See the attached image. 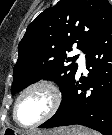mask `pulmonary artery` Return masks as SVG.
I'll return each mask as SVG.
<instances>
[{
  "label": "pulmonary artery",
  "mask_w": 112,
  "mask_h": 135,
  "mask_svg": "<svg viewBox=\"0 0 112 135\" xmlns=\"http://www.w3.org/2000/svg\"><path fill=\"white\" fill-rule=\"evenodd\" d=\"M78 66H79V71L85 70V56L83 54H80L78 58Z\"/></svg>",
  "instance_id": "pulmonary-artery-1"
}]
</instances>
